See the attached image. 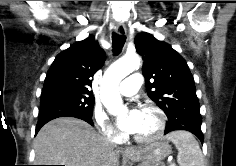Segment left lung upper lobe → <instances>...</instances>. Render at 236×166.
<instances>
[{
  "label": "left lung upper lobe",
  "instance_id": "obj_1",
  "mask_svg": "<svg viewBox=\"0 0 236 166\" xmlns=\"http://www.w3.org/2000/svg\"><path fill=\"white\" fill-rule=\"evenodd\" d=\"M134 42L144 59L142 71L147 94L168 118L189 110L192 103H199L193 76L177 51L146 32L138 34Z\"/></svg>",
  "mask_w": 236,
  "mask_h": 166
}]
</instances>
